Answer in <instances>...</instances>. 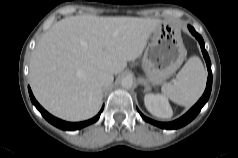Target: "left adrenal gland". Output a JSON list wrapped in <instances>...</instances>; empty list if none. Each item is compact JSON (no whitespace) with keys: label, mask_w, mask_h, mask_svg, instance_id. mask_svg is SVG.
Instances as JSON below:
<instances>
[{"label":"left adrenal gland","mask_w":238,"mask_h":158,"mask_svg":"<svg viewBox=\"0 0 238 158\" xmlns=\"http://www.w3.org/2000/svg\"><path fill=\"white\" fill-rule=\"evenodd\" d=\"M148 89H149L148 86H145L144 91H148Z\"/></svg>","instance_id":"a2214340"}]
</instances>
